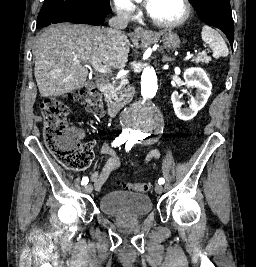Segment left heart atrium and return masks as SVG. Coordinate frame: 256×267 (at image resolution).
<instances>
[{"label": "left heart atrium", "instance_id": "left-heart-atrium-1", "mask_svg": "<svg viewBox=\"0 0 256 267\" xmlns=\"http://www.w3.org/2000/svg\"><path fill=\"white\" fill-rule=\"evenodd\" d=\"M168 3L169 0H144L145 9L153 19L156 26H163L160 21V16Z\"/></svg>", "mask_w": 256, "mask_h": 267}]
</instances>
